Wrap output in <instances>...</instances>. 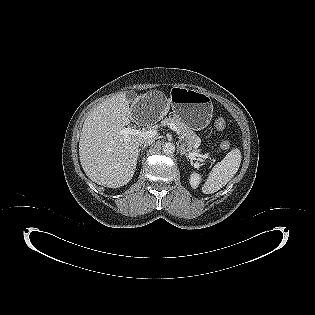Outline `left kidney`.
Masks as SVG:
<instances>
[{"instance_id": "1", "label": "left kidney", "mask_w": 315, "mask_h": 315, "mask_svg": "<svg viewBox=\"0 0 315 315\" xmlns=\"http://www.w3.org/2000/svg\"><path fill=\"white\" fill-rule=\"evenodd\" d=\"M200 183V176L196 173H192L190 176V185L192 188L196 189Z\"/></svg>"}]
</instances>
